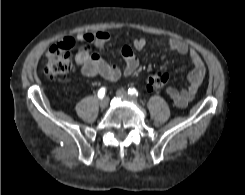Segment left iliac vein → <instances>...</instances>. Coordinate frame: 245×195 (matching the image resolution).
<instances>
[{
    "label": "left iliac vein",
    "instance_id": "1",
    "mask_svg": "<svg viewBox=\"0 0 245 195\" xmlns=\"http://www.w3.org/2000/svg\"><path fill=\"white\" fill-rule=\"evenodd\" d=\"M116 95H117L118 97L125 98V99H127V100H129V101H131V102H133V103H136V99H135L133 96L129 95V94L127 93V91H125L124 89H119V90H117Z\"/></svg>",
    "mask_w": 245,
    "mask_h": 195
}]
</instances>
